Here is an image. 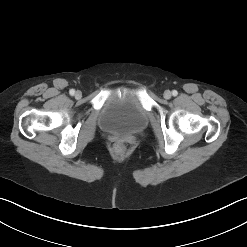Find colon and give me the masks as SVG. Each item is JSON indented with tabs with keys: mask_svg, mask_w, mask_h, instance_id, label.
<instances>
[{
	"mask_svg": "<svg viewBox=\"0 0 247 247\" xmlns=\"http://www.w3.org/2000/svg\"><path fill=\"white\" fill-rule=\"evenodd\" d=\"M115 153L120 156L123 157L125 154V149L121 144L116 145L115 147Z\"/></svg>",
	"mask_w": 247,
	"mask_h": 247,
	"instance_id": "5ec220e1",
	"label": "colon"
}]
</instances>
